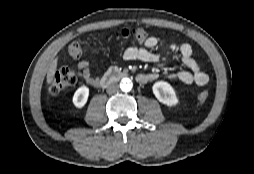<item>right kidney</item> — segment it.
Returning <instances> with one entry per match:
<instances>
[{"label": "right kidney", "instance_id": "1", "mask_svg": "<svg viewBox=\"0 0 254 174\" xmlns=\"http://www.w3.org/2000/svg\"><path fill=\"white\" fill-rule=\"evenodd\" d=\"M89 96V88L86 86H82L76 90L73 96V103L77 108H82L88 99Z\"/></svg>", "mask_w": 254, "mask_h": 174}]
</instances>
